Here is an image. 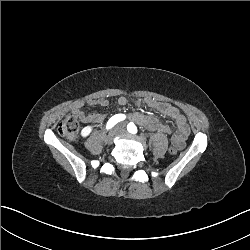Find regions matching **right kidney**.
Returning <instances> with one entry per match:
<instances>
[{"instance_id": "1", "label": "right kidney", "mask_w": 250, "mask_h": 250, "mask_svg": "<svg viewBox=\"0 0 250 250\" xmlns=\"http://www.w3.org/2000/svg\"><path fill=\"white\" fill-rule=\"evenodd\" d=\"M89 131H90V129H89V128H85V129L82 131V134L86 135V134H88V133H89Z\"/></svg>"}]
</instances>
